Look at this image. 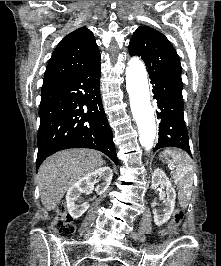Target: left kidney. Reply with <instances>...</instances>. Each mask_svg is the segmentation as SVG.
I'll return each instance as SVG.
<instances>
[{
	"label": "left kidney",
	"instance_id": "1",
	"mask_svg": "<svg viewBox=\"0 0 221 266\" xmlns=\"http://www.w3.org/2000/svg\"><path fill=\"white\" fill-rule=\"evenodd\" d=\"M159 185L166 186V192L161 194V198H166V201L165 207L163 209V214H154V222L157 226L163 225L170 219L174 211L176 199V192L175 189L172 187L169 178L161 169L158 168L154 171L152 176V188H156Z\"/></svg>",
	"mask_w": 221,
	"mask_h": 266
}]
</instances>
